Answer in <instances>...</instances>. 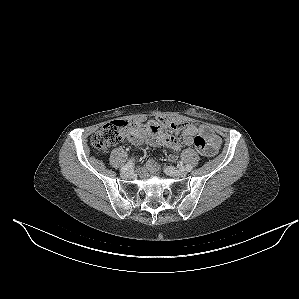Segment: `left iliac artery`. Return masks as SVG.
Returning a JSON list of instances; mask_svg holds the SVG:
<instances>
[{"mask_svg": "<svg viewBox=\"0 0 299 299\" xmlns=\"http://www.w3.org/2000/svg\"><path fill=\"white\" fill-rule=\"evenodd\" d=\"M185 169H186V171L190 172L193 169V167H192V165L188 164V165H186Z\"/></svg>", "mask_w": 299, "mask_h": 299, "instance_id": "1", "label": "left iliac artery"}]
</instances>
